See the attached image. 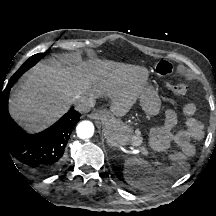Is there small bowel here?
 I'll list each match as a JSON object with an SVG mask.
<instances>
[{
    "mask_svg": "<svg viewBox=\"0 0 216 216\" xmlns=\"http://www.w3.org/2000/svg\"><path fill=\"white\" fill-rule=\"evenodd\" d=\"M181 111L186 117L185 127L182 129H177L175 112L172 110L166 112L165 120L161 127V143L165 146L174 145L186 156H193L195 153L193 141L203 138V124L195 117L196 107L194 104H185Z\"/></svg>",
    "mask_w": 216,
    "mask_h": 216,
    "instance_id": "small-bowel-1",
    "label": "small bowel"
}]
</instances>
